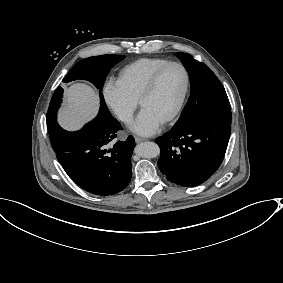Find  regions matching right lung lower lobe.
I'll use <instances>...</instances> for the list:
<instances>
[{
	"label": "right lung lower lobe",
	"mask_w": 283,
	"mask_h": 283,
	"mask_svg": "<svg viewBox=\"0 0 283 283\" xmlns=\"http://www.w3.org/2000/svg\"><path fill=\"white\" fill-rule=\"evenodd\" d=\"M47 113V127L56 119ZM62 141L54 149L68 176L84 190L96 195H112L122 191L132 176L131 155L135 141L111 142L120 123L109 111L100 110L97 117L83 129L67 132L60 128Z\"/></svg>",
	"instance_id": "98d812e1"
}]
</instances>
